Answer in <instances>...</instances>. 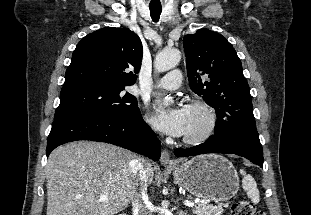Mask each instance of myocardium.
<instances>
[{
    "instance_id": "myocardium-1",
    "label": "myocardium",
    "mask_w": 311,
    "mask_h": 215,
    "mask_svg": "<svg viewBox=\"0 0 311 215\" xmlns=\"http://www.w3.org/2000/svg\"><path fill=\"white\" fill-rule=\"evenodd\" d=\"M185 108L201 111L206 118L204 129L197 135L184 136L183 142L189 145H198L208 140L214 133L217 125V115L214 109L206 102L201 100H193L186 104Z\"/></svg>"
}]
</instances>
